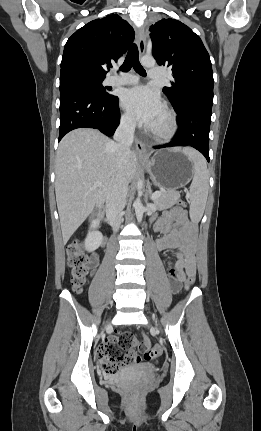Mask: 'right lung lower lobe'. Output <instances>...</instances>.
Wrapping results in <instances>:
<instances>
[{"label":"right lung lower lobe","mask_w":261,"mask_h":431,"mask_svg":"<svg viewBox=\"0 0 261 431\" xmlns=\"http://www.w3.org/2000/svg\"><path fill=\"white\" fill-rule=\"evenodd\" d=\"M118 97H101L87 86H60V141L77 128H94L111 136L119 125Z\"/></svg>","instance_id":"98d812e1"}]
</instances>
